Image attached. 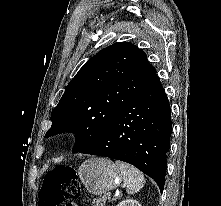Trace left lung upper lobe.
Segmentation results:
<instances>
[{
    "label": "left lung upper lobe",
    "mask_w": 221,
    "mask_h": 206,
    "mask_svg": "<svg viewBox=\"0 0 221 206\" xmlns=\"http://www.w3.org/2000/svg\"><path fill=\"white\" fill-rule=\"evenodd\" d=\"M158 79L137 46L118 42L93 56L70 81L51 114L46 137L74 132L77 153L98 139L116 117Z\"/></svg>",
    "instance_id": "1"
}]
</instances>
